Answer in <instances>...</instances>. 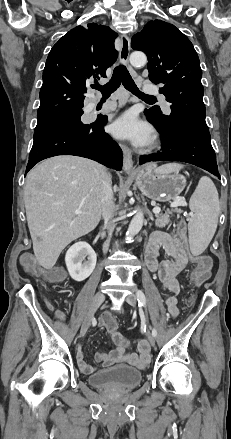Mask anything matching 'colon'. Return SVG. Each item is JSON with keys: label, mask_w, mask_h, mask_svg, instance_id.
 <instances>
[{"label": "colon", "mask_w": 231, "mask_h": 439, "mask_svg": "<svg viewBox=\"0 0 231 439\" xmlns=\"http://www.w3.org/2000/svg\"><path fill=\"white\" fill-rule=\"evenodd\" d=\"M178 232L180 236L186 241V224L184 221H180L178 224ZM195 268L193 271V284L196 290H199L202 285H205L209 281V274L212 268V259L208 255H199L193 258ZM23 267L31 274L35 276H43L50 282H61L65 279V271L61 267H55L48 271H44L39 267L35 260L26 256L22 259ZM184 304L186 310H192L194 301H196L197 296L194 293H187L184 296Z\"/></svg>", "instance_id": "5ec220e1"}]
</instances>
